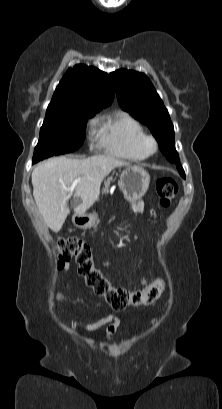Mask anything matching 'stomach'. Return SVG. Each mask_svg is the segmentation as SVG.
<instances>
[{
	"label": "stomach",
	"instance_id": "1",
	"mask_svg": "<svg viewBox=\"0 0 222 409\" xmlns=\"http://www.w3.org/2000/svg\"><path fill=\"white\" fill-rule=\"evenodd\" d=\"M150 183L148 172L140 166H128L120 176L119 185L124 198L134 203L147 192ZM95 214L77 213L72 217V223L79 229L92 228L96 224Z\"/></svg>",
	"mask_w": 222,
	"mask_h": 409
}]
</instances>
